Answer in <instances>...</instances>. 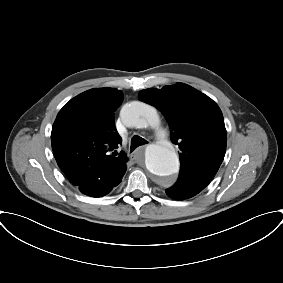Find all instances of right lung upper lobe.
I'll return each mask as SVG.
<instances>
[{"label":"right lung upper lobe","instance_id":"obj_1","mask_svg":"<svg viewBox=\"0 0 283 283\" xmlns=\"http://www.w3.org/2000/svg\"><path fill=\"white\" fill-rule=\"evenodd\" d=\"M122 101V91L97 88L74 97L59 111L52 127V149L73 185L80 186L105 170L112 177L124 174L126 154H111L122 142L113 116Z\"/></svg>","mask_w":283,"mask_h":283}]
</instances>
